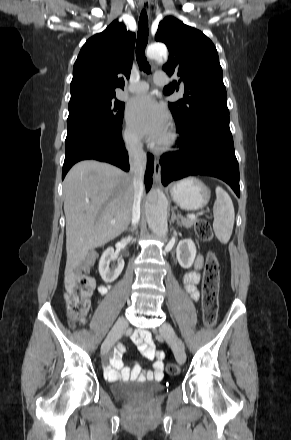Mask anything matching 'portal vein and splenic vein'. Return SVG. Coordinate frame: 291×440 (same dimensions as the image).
<instances>
[{"label": "portal vein and splenic vein", "instance_id": "obj_1", "mask_svg": "<svg viewBox=\"0 0 291 440\" xmlns=\"http://www.w3.org/2000/svg\"><path fill=\"white\" fill-rule=\"evenodd\" d=\"M187 217L189 218V219H196V215L195 214H188L187 215ZM115 223V221H111V224H114Z\"/></svg>", "mask_w": 291, "mask_h": 440}]
</instances>
